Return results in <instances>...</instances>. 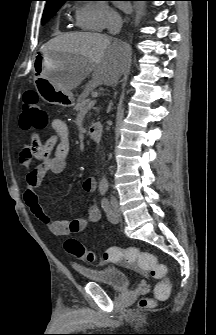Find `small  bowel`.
I'll return each instance as SVG.
<instances>
[{"mask_svg": "<svg viewBox=\"0 0 216 335\" xmlns=\"http://www.w3.org/2000/svg\"><path fill=\"white\" fill-rule=\"evenodd\" d=\"M51 127L54 131L53 135L44 141L34 137L31 143L19 152L20 165L26 171L24 199L34 216L54 235L67 236L80 233L89 224L97 223L101 219V213L97 205L91 204L87 209L86 217L56 220L51 218L40 204L36 189L48 173L60 174L65 170L70 151L69 130L65 121L55 118L51 122ZM33 160L39 162L35 167L32 166ZM95 186L96 181L93 177L86 178L83 182V189L86 192H93Z\"/></svg>", "mask_w": 216, "mask_h": 335, "instance_id": "1", "label": "small bowel"}]
</instances>
